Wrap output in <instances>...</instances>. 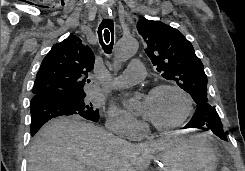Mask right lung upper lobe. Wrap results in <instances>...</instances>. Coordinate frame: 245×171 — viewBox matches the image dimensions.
I'll return each mask as SVG.
<instances>
[{"instance_id":"cb5924a9","label":"right lung upper lobe","mask_w":245,"mask_h":171,"mask_svg":"<svg viewBox=\"0 0 245 171\" xmlns=\"http://www.w3.org/2000/svg\"><path fill=\"white\" fill-rule=\"evenodd\" d=\"M94 55L75 35L55 44L43 59L32 92L33 98L85 94L87 74L93 70Z\"/></svg>"}]
</instances>
